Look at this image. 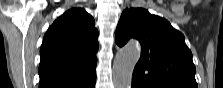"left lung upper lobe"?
Returning <instances> with one entry per match:
<instances>
[{"instance_id": "5c2ea615", "label": "left lung upper lobe", "mask_w": 223, "mask_h": 88, "mask_svg": "<svg viewBox=\"0 0 223 88\" xmlns=\"http://www.w3.org/2000/svg\"><path fill=\"white\" fill-rule=\"evenodd\" d=\"M130 38L141 44L132 76L140 88H197L192 53L183 34L167 20L142 8L126 9L116 29V43L122 47Z\"/></svg>"}]
</instances>
